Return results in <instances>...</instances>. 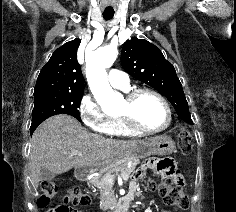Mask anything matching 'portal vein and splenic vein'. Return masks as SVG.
<instances>
[{
    "mask_svg": "<svg viewBox=\"0 0 236 212\" xmlns=\"http://www.w3.org/2000/svg\"><path fill=\"white\" fill-rule=\"evenodd\" d=\"M71 155H81V154L77 150H73V151H71ZM121 177L124 179L126 176H121ZM105 180L109 183H112L114 181V177L106 176Z\"/></svg>",
    "mask_w": 236,
    "mask_h": 212,
    "instance_id": "portal-vein-and-splenic-vein-1",
    "label": "portal vein and splenic vein"
}]
</instances>
